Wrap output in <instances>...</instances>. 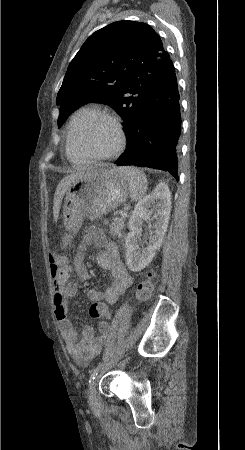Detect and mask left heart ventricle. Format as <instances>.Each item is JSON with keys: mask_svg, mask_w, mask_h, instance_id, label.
Masks as SVG:
<instances>
[{"mask_svg": "<svg viewBox=\"0 0 245 450\" xmlns=\"http://www.w3.org/2000/svg\"><path fill=\"white\" fill-rule=\"evenodd\" d=\"M78 147L88 155L101 156L110 153L117 145V133L105 120L81 121L75 127Z\"/></svg>", "mask_w": 245, "mask_h": 450, "instance_id": "left-heart-ventricle-1", "label": "left heart ventricle"}]
</instances>
